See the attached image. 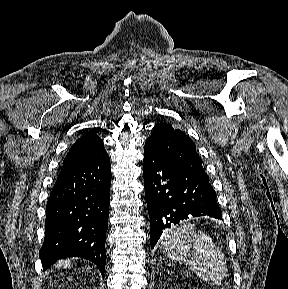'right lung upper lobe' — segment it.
I'll return each instance as SVG.
<instances>
[{
	"label": "right lung upper lobe",
	"mask_w": 288,
	"mask_h": 289,
	"mask_svg": "<svg viewBox=\"0 0 288 289\" xmlns=\"http://www.w3.org/2000/svg\"><path fill=\"white\" fill-rule=\"evenodd\" d=\"M105 152L103 141L94 132H88L72 145L63 165L83 162Z\"/></svg>",
	"instance_id": "right-lung-upper-lobe-1"
}]
</instances>
